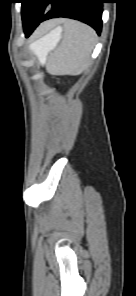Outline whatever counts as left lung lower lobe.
I'll return each mask as SVG.
<instances>
[{
    "label": "left lung lower lobe",
    "instance_id": "1",
    "mask_svg": "<svg viewBox=\"0 0 136 296\" xmlns=\"http://www.w3.org/2000/svg\"><path fill=\"white\" fill-rule=\"evenodd\" d=\"M103 3L105 0H53L50 10L44 14L41 20L24 29L25 37H28L40 22L57 17L80 20L93 27L100 35Z\"/></svg>",
    "mask_w": 136,
    "mask_h": 296
}]
</instances>
